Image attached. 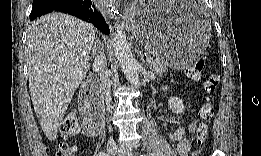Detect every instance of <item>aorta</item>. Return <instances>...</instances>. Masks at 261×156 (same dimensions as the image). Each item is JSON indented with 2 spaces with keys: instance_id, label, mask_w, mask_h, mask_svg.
<instances>
[{
  "instance_id": "1",
  "label": "aorta",
  "mask_w": 261,
  "mask_h": 156,
  "mask_svg": "<svg viewBox=\"0 0 261 156\" xmlns=\"http://www.w3.org/2000/svg\"><path fill=\"white\" fill-rule=\"evenodd\" d=\"M115 55L126 79L135 87L140 85V68L130 49L126 33L121 25H117L113 37Z\"/></svg>"
}]
</instances>
